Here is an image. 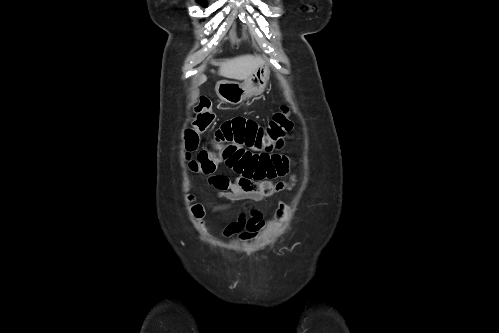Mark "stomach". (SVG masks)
I'll list each match as a JSON object with an SVG mask.
<instances>
[{
  "mask_svg": "<svg viewBox=\"0 0 499 333\" xmlns=\"http://www.w3.org/2000/svg\"><path fill=\"white\" fill-rule=\"evenodd\" d=\"M269 75V67L263 65L258 67L243 83L223 80L216 84L215 90L222 101L238 105L250 97L262 94Z\"/></svg>",
  "mask_w": 499,
  "mask_h": 333,
  "instance_id": "1",
  "label": "stomach"
}]
</instances>
